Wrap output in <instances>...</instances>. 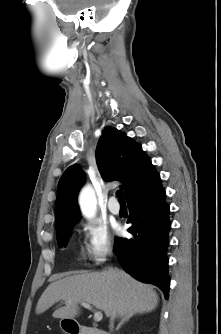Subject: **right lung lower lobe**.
<instances>
[{
    "label": "right lung lower lobe",
    "mask_w": 221,
    "mask_h": 334,
    "mask_svg": "<svg viewBox=\"0 0 221 334\" xmlns=\"http://www.w3.org/2000/svg\"><path fill=\"white\" fill-rule=\"evenodd\" d=\"M157 174L128 199L132 239L116 238L115 253L123 269L145 283L158 286L168 299L167 248L169 244V205Z\"/></svg>",
    "instance_id": "right-lung-lower-lobe-1"
}]
</instances>
